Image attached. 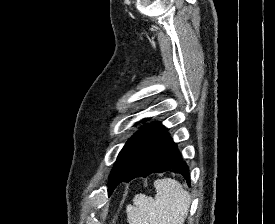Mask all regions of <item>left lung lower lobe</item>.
Listing matches in <instances>:
<instances>
[{
  "label": "left lung lower lobe",
  "instance_id": "0a47b994",
  "mask_svg": "<svg viewBox=\"0 0 275 224\" xmlns=\"http://www.w3.org/2000/svg\"><path fill=\"white\" fill-rule=\"evenodd\" d=\"M165 171L177 172L183 175L190 185L189 168L181 160L176 144L172 141L163 125L145 142L128 171L119 179H109V195L121 182H129L136 177H147L151 173Z\"/></svg>",
  "mask_w": 275,
  "mask_h": 224
}]
</instances>
